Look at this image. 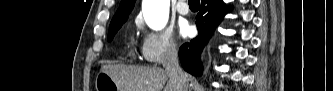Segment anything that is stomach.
Returning a JSON list of instances; mask_svg holds the SVG:
<instances>
[{
  "instance_id": "1",
  "label": "stomach",
  "mask_w": 333,
  "mask_h": 91,
  "mask_svg": "<svg viewBox=\"0 0 333 91\" xmlns=\"http://www.w3.org/2000/svg\"><path fill=\"white\" fill-rule=\"evenodd\" d=\"M96 91H123V89L105 72H99L95 80Z\"/></svg>"
}]
</instances>
